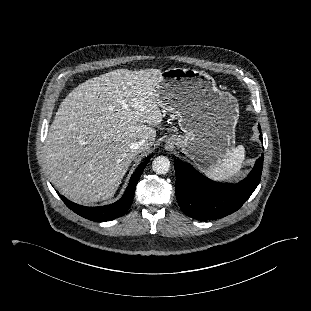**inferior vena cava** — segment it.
<instances>
[{"mask_svg": "<svg viewBox=\"0 0 311 311\" xmlns=\"http://www.w3.org/2000/svg\"><path fill=\"white\" fill-rule=\"evenodd\" d=\"M145 145V141H136L130 144V148L134 151H139Z\"/></svg>", "mask_w": 311, "mask_h": 311, "instance_id": "inferior-vena-cava-1", "label": "inferior vena cava"}]
</instances>
